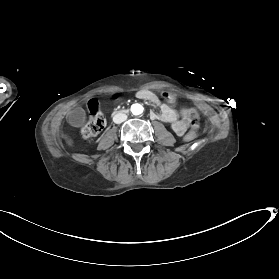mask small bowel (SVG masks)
<instances>
[{"mask_svg": "<svg viewBox=\"0 0 279 279\" xmlns=\"http://www.w3.org/2000/svg\"><path fill=\"white\" fill-rule=\"evenodd\" d=\"M138 96L142 99L148 100L160 107V112H151L153 119H161L166 122H170L174 132L182 136L187 130V125L184 121L178 119L176 111L172 108V104L175 103L176 98L169 92H163L165 101H161L156 94L151 91H142L138 93Z\"/></svg>", "mask_w": 279, "mask_h": 279, "instance_id": "obj_1", "label": "small bowel"}]
</instances>
